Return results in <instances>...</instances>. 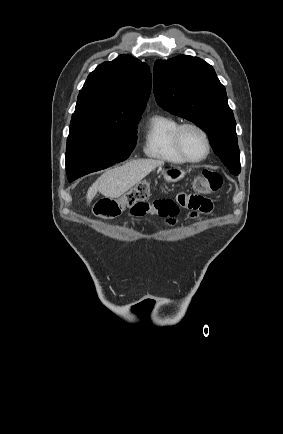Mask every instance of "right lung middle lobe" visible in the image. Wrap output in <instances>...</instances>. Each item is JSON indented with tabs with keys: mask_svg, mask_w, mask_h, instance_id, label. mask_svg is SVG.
<instances>
[{
	"mask_svg": "<svg viewBox=\"0 0 283 434\" xmlns=\"http://www.w3.org/2000/svg\"><path fill=\"white\" fill-rule=\"evenodd\" d=\"M139 120L71 122L66 148L69 182L126 160L136 145Z\"/></svg>",
	"mask_w": 283,
	"mask_h": 434,
	"instance_id": "right-lung-middle-lobe-1",
	"label": "right lung middle lobe"
}]
</instances>
